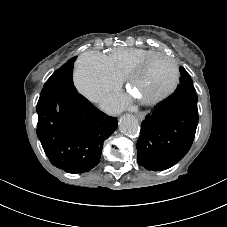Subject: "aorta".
<instances>
[{"label": "aorta", "mask_w": 227, "mask_h": 227, "mask_svg": "<svg viewBox=\"0 0 227 227\" xmlns=\"http://www.w3.org/2000/svg\"><path fill=\"white\" fill-rule=\"evenodd\" d=\"M119 128L124 135L129 137H136L140 131L139 122L132 114H125L120 119Z\"/></svg>", "instance_id": "obj_1"}]
</instances>
